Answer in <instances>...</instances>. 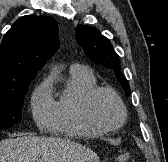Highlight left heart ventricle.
<instances>
[{
	"mask_svg": "<svg viewBox=\"0 0 168 162\" xmlns=\"http://www.w3.org/2000/svg\"><path fill=\"white\" fill-rule=\"evenodd\" d=\"M94 113L98 120L107 126H114L121 119V110L117 101L107 93H101L96 97Z\"/></svg>",
	"mask_w": 168,
	"mask_h": 162,
	"instance_id": "b2bd125f",
	"label": "left heart ventricle"
}]
</instances>
